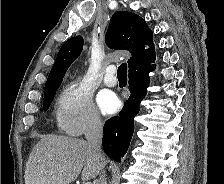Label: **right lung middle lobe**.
<instances>
[{"label": "right lung middle lobe", "mask_w": 224, "mask_h": 184, "mask_svg": "<svg viewBox=\"0 0 224 184\" xmlns=\"http://www.w3.org/2000/svg\"><path fill=\"white\" fill-rule=\"evenodd\" d=\"M55 91L44 93L45 96H44V101H43V107H44L45 111L49 108V106H50V104L52 102V99H53V97L55 95Z\"/></svg>", "instance_id": "obj_1"}]
</instances>
